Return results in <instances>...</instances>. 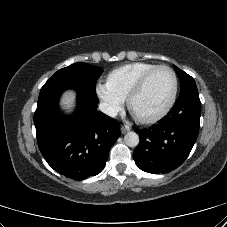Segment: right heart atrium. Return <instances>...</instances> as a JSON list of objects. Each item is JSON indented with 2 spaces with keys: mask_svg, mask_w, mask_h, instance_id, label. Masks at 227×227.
Listing matches in <instances>:
<instances>
[{
  "mask_svg": "<svg viewBox=\"0 0 227 227\" xmlns=\"http://www.w3.org/2000/svg\"><path fill=\"white\" fill-rule=\"evenodd\" d=\"M96 93L108 115L116 114L124 104V99L117 95L107 83H98Z\"/></svg>",
  "mask_w": 227,
  "mask_h": 227,
  "instance_id": "right-heart-atrium-1",
  "label": "right heart atrium"
}]
</instances>
